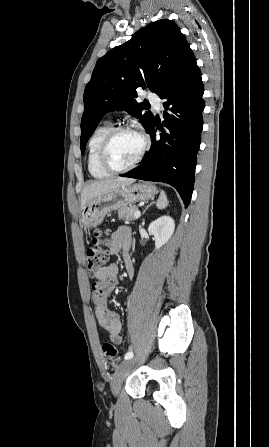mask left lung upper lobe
<instances>
[{"instance_id": "1", "label": "left lung upper lobe", "mask_w": 269, "mask_h": 447, "mask_svg": "<svg viewBox=\"0 0 269 447\" xmlns=\"http://www.w3.org/2000/svg\"><path fill=\"white\" fill-rule=\"evenodd\" d=\"M190 48L179 27L163 19L137 31L123 45L101 57L84 91L81 120V152L101 118L110 111L125 110L140 119L147 130L153 114L138 103L136 89L149 88L160 95Z\"/></svg>"}]
</instances>
